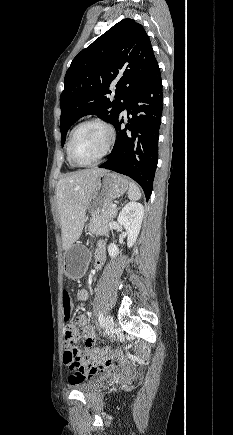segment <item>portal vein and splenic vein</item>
Listing matches in <instances>:
<instances>
[{
    "instance_id": "18ae733b",
    "label": "portal vein and splenic vein",
    "mask_w": 233,
    "mask_h": 435,
    "mask_svg": "<svg viewBox=\"0 0 233 435\" xmlns=\"http://www.w3.org/2000/svg\"><path fill=\"white\" fill-rule=\"evenodd\" d=\"M111 207L116 209L117 205L116 204H112Z\"/></svg>"
}]
</instances>
